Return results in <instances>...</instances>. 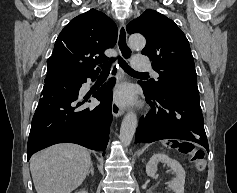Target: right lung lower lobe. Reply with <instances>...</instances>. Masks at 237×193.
<instances>
[{"mask_svg":"<svg viewBox=\"0 0 237 193\" xmlns=\"http://www.w3.org/2000/svg\"><path fill=\"white\" fill-rule=\"evenodd\" d=\"M116 69L113 70V73ZM97 73L74 76L48 70L39 105L32 119L27 146V159L37 151L57 143H76L92 150L104 151L109 140L112 120L110 87L98 89L93 97L101 101L95 108H84L87 101L79 98V90L88 77ZM105 152H103V155Z\"/></svg>","mask_w":237,"mask_h":193,"instance_id":"obj_1","label":"right lung lower lobe"}]
</instances>
